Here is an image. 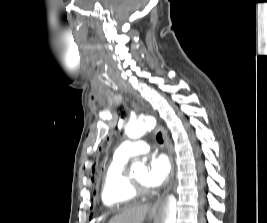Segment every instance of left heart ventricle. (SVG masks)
I'll return each mask as SVG.
<instances>
[{
	"mask_svg": "<svg viewBox=\"0 0 267 223\" xmlns=\"http://www.w3.org/2000/svg\"><path fill=\"white\" fill-rule=\"evenodd\" d=\"M146 171L141 172L140 174H138L136 177H134L133 179L140 185L147 187L146 184Z\"/></svg>",
	"mask_w": 267,
	"mask_h": 223,
	"instance_id": "obj_1",
	"label": "left heart ventricle"
}]
</instances>
